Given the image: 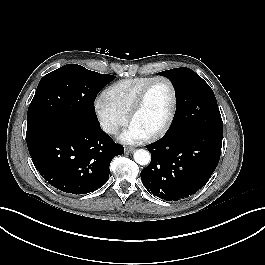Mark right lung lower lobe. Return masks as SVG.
<instances>
[{"label":"right lung lower lobe","instance_id":"right-lung-lower-lobe-1","mask_svg":"<svg viewBox=\"0 0 265 265\" xmlns=\"http://www.w3.org/2000/svg\"><path fill=\"white\" fill-rule=\"evenodd\" d=\"M26 139L41 176L55 188L76 195L103 186L109 179L111 160L124 153L99 122L66 120Z\"/></svg>","mask_w":265,"mask_h":265}]
</instances>
